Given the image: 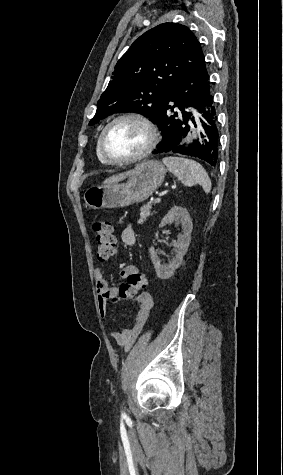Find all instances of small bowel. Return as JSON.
<instances>
[{
	"instance_id": "obj_1",
	"label": "small bowel",
	"mask_w": 283,
	"mask_h": 475,
	"mask_svg": "<svg viewBox=\"0 0 283 475\" xmlns=\"http://www.w3.org/2000/svg\"><path fill=\"white\" fill-rule=\"evenodd\" d=\"M121 241L125 246H133L136 243V233L131 224L126 225L121 232ZM133 265L124 267L120 272L121 279H126L127 274H131ZM95 293L99 312L103 318H107V307L104 305L106 293H118L116 287L110 286L104 279L101 268L95 270ZM139 302V308L135 314L133 325L130 328H120L112 326L110 335L116 343L124 350L129 351L134 345L136 338L143 330L151 310L153 308L152 295L143 291L140 296H134ZM120 303V302H119Z\"/></svg>"
}]
</instances>
